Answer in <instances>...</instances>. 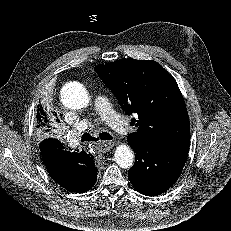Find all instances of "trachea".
Returning <instances> with one entry per match:
<instances>
[{
  "label": "trachea",
  "mask_w": 231,
  "mask_h": 231,
  "mask_svg": "<svg viewBox=\"0 0 231 231\" xmlns=\"http://www.w3.org/2000/svg\"><path fill=\"white\" fill-rule=\"evenodd\" d=\"M99 139L101 140H105V141H109V140H112L113 137L107 133V132H101L99 134V137H92L89 133H84L81 137V141L82 142H90V141H98Z\"/></svg>",
  "instance_id": "trachea-1"
}]
</instances>
